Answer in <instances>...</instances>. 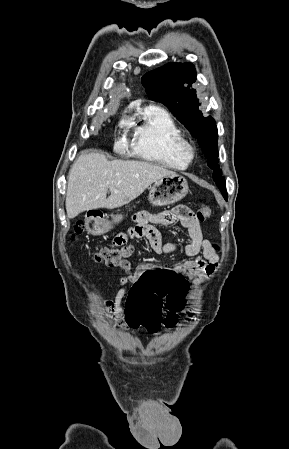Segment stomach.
<instances>
[{
	"label": "stomach",
	"instance_id": "stomach-1",
	"mask_svg": "<svg viewBox=\"0 0 289 449\" xmlns=\"http://www.w3.org/2000/svg\"><path fill=\"white\" fill-rule=\"evenodd\" d=\"M189 191L187 180L178 174L163 177L150 188L148 200L154 206L174 204L184 198ZM123 220V215L117 214L112 222L101 217H90L86 220L89 234L103 235L113 228V224Z\"/></svg>",
	"mask_w": 289,
	"mask_h": 449
}]
</instances>
